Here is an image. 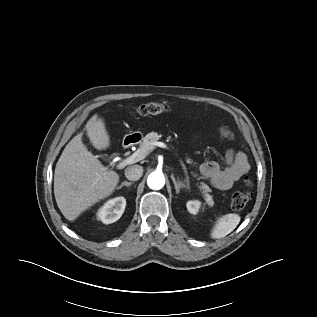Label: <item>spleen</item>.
Returning a JSON list of instances; mask_svg holds the SVG:
<instances>
[{"mask_svg":"<svg viewBox=\"0 0 317 317\" xmlns=\"http://www.w3.org/2000/svg\"><path fill=\"white\" fill-rule=\"evenodd\" d=\"M241 218L238 214L229 213L218 218L211 230L213 239H220L230 234L239 224Z\"/></svg>","mask_w":317,"mask_h":317,"instance_id":"1","label":"spleen"}]
</instances>
